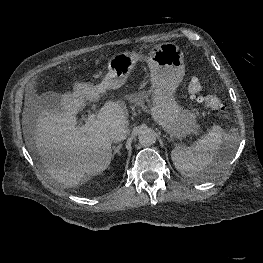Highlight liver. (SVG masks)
<instances>
[{"mask_svg": "<svg viewBox=\"0 0 263 263\" xmlns=\"http://www.w3.org/2000/svg\"><path fill=\"white\" fill-rule=\"evenodd\" d=\"M107 90V85L102 83L75 82L72 93L61 95L60 112L39 110L38 100L34 103L31 95H26L22 118L24 133L33 128L40 162L45 172L63 188H74L87 182L111 163L109 132L113 127H126V106L107 102L87 132L76 126V115L86 101H98Z\"/></svg>", "mask_w": 263, "mask_h": 263, "instance_id": "obj_1", "label": "liver"}]
</instances>
